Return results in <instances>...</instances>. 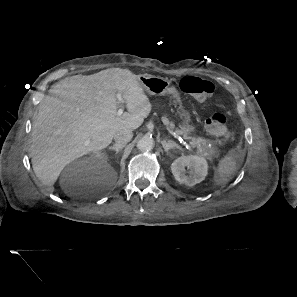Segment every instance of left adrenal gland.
<instances>
[{
	"instance_id": "left-adrenal-gland-1",
	"label": "left adrenal gland",
	"mask_w": 297,
	"mask_h": 297,
	"mask_svg": "<svg viewBox=\"0 0 297 297\" xmlns=\"http://www.w3.org/2000/svg\"><path fill=\"white\" fill-rule=\"evenodd\" d=\"M161 144H162L167 155H168V152L170 149L177 148L179 150H182V148L178 144H176L174 141L167 142L166 140H163V141H161Z\"/></svg>"
}]
</instances>
